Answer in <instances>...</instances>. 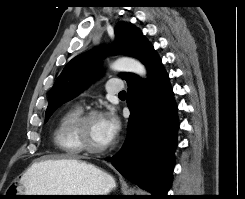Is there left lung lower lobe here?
<instances>
[{"label": "left lung lower lobe", "instance_id": "1", "mask_svg": "<svg viewBox=\"0 0 245 199\" xmlns=\"http://www.w3.org/2000/svg\"><path fill=\"white\" fill-rule=\"evenodd\" d=\"M145 66L146 85L138 76L127 81L128 137L121 150L106 160L129 181L150 191L153 198H164L174 168L177 108L168 74L155 51Z\"/></svg>", "mask_w": 245, "mask_h": 199}]
</instances>
